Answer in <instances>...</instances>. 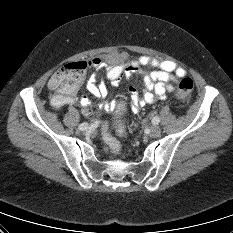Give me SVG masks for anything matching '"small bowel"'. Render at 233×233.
Here are the masks:
<instances>
[{"instance_id": "c3829d8e", "label": "small bowel", "mask_w": 233, "mask_h": 233, "mask_svg": "<svg viewBox=\"0 0 233 233\" xmlns=\"http://www.w3.org/2000/svg\"><path fill=\"white\" fill-rule=\"evenodd\" d=\"M90 67L106 71L107 78L112 84H117L122 76H131L137 74L141 77L144 87L139 94L133 86L129 87L131 105L134 111L139 110L146 104L153 103L157 99H163L173 91L177 79L186 74L184 68L178 66L170 60H159L149 56H140L134 60L128 61L124 53H111L103 58H93L88 61ZM151 66L154 68L150 73L142 70L143 67ZM49 89L53 90L50 96V104L60 110L65 106L72 105L76 102L83 107L84 115L89 113V107L92 105L91 100L86 96H77V91L65 92L54 84L53 75L48 81ZM87 90L96 98L105 99L108 95V89L103 82H96V78H90L87 82ZM116 101L104 104L106 108H114Z\"/></svg>"}]
</instances>
